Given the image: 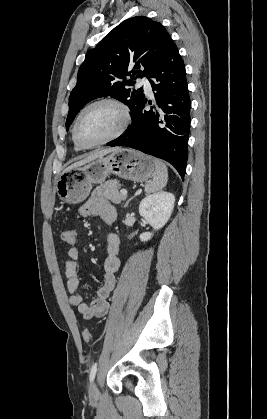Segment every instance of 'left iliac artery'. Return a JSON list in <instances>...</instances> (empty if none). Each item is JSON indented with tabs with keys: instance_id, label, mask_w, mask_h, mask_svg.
<instances>
[{
	"instance_id": "44dca946",
	"label": "left iliac artery",
	"mask_w": 267,
	"mask_h": 419,
	"mask_svg": "<svg viewBox=\"0 0 267 419\" xmlns=\"http://www.w3.org/2000/svg\"><path fill=\"white\" fill-rule=\"evenodd\" d=\"M96 372H97V363H94L92 368H91L90 375H89L90 381L94 380Z\"/></svg>"
}]
</instances>
